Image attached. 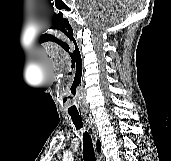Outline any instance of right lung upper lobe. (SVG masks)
I'll list each match as a JSON object with an SVG mask.
<instances>
[{
  "instance_id": "right-lung-upper-lobe-1",
  "label": "right lung upper lobe",
  "mask_w": 171,
  "mask_h": 161,
  "mask_svg": "<svg viewBox=\"0 0 171 161\" xmlns=\"http://www.w3.org/2000/svg\"><path fill=\"white\" fill-rule=\"evenodd\" d=\"M100 147H101L100 142L97 141V149L100 150Z\"/></svg>"
}]
</instances>
